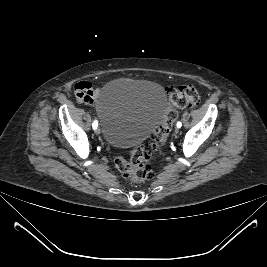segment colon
Returning a JSON list of instances; mask_svg holds the SVG:
<instances>
[{"label": "colon", "instance_id": "colon-1", "mask_svg": "<svg viewBox=\"0 0 267 267\" xmlns=\"http://www.w3.org/2000/svg\"><path fill=\"white\" fill-rule=\"evenodd\" d=\"M170 107L163 122L151 135V143L148 146H137L131 150L129 158L117 155L114 163L123 177L130 182H142L152 178L150 162L155 156L162 153L177 119V108L195 107L200 102V94L192 85L171 87L168 91Z\"/></svg>", "mask_w": 267, "mask_h": 267}]
</instances>
